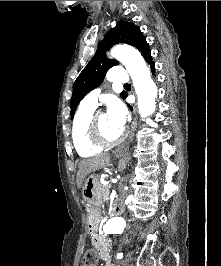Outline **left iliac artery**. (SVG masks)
<instances>
[{"label": "left iliac artery", "mask_w": 221, "mask_h": 266, "mask_svg": "<svg viewBox=\"0 0 221 266\" xmlns=\"http://www.w3.org/2000/svg\"><path fill=\"white\" fill-rule=\"evenodd\" d=\"M123 257V254L122 253H118L117 254V259H121Z\"/></svg>", "instance_id": "obj_1"}]
</instances>
